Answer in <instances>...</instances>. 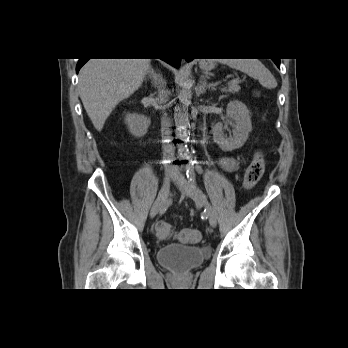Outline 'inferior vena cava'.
<instances>
[{"instance_id": "inferior-vena-cava-1", "label": "inferior vena cava", "mask_w": 348, "mask_h": 348, "mask_svg": "<svg viewBox=\"0 0 348 348\" xmlns=\"http://www.w3.org/2000/svg\"><path fill=\"white\" fill-rule=\"evenodd\" d=\"M168 97V91L166 90V83L161 79L158 83V102L159 103H165L166 99ZM170 124L168 122L166 114L163 115L162 121H161V132H162V138H163V158L165 160L171 159L174 155V146L169 143L170 134L171 131L169 129ZM167 170V168H166Z\"/></svg>"}]
</instances>
